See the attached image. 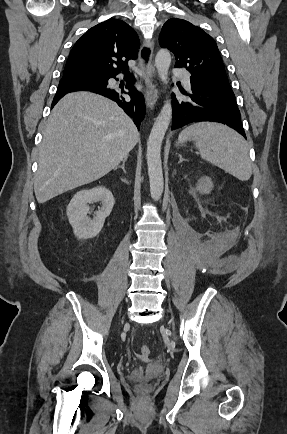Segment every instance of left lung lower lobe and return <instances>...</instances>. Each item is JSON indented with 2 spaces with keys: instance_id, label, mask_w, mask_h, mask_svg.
Listing matches in <instances>:
<instances>
[{
  "instance_id": "0a47b994",
  "label": "left lung lower lobe",
  "mask_w": 287,
  "mask_h": 434,
  "mask_svg": "<svg viewBox=\"0 0 287 434\" xmlns=\"http://www.w3.org/2000/svg\"><path fill=\"white\" fill-rule=\"evenodd\" d=\"M190 80V101L177 100L172 95L171 129H178L192 122L215 121L228 125L246 138L234 93L212 87L197 79Z\"/></svg>"
}]
</instances>
